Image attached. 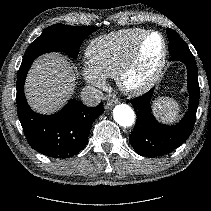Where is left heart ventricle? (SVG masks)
Here are the masks:
<instances>
[{
	"label": "left heart ventricle",
	"instance_id": "left-heart-ventricle-1",
	"mask_svg": "<svg viewBox=\"0 0 211 211\" xmlns=\"http://www.w3.org/2000/svg\"><path fill=\"white\" fill-rule=\"evenodd\" d=\"M161 51L160 37L156 34L149 36L142 47L139 63L129 79L130 83H139L153 72L160 58Z\"/></svg>",
	"mask_w": 211,
	"mask_h": 211
}]
</instances>
